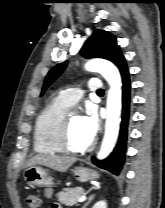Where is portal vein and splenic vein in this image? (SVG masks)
<instances>
[{
    "label": "portal vein and splenic vein",
    "instance_id": "portal-vein-and-splenic-vein-1",
    "mask_svg": "<svg viewBox=\"0 0 165 208\" xmlns=\"http://www.w3.org/2000/svg\"><path fill=\"white\" fill-rule=\"evenodd\" d=\"M86 200V196L85 195H82L79 199H78V202H83Z\"/></svg>",
    "mask_w": 165,
    "mask_h": 208
}]
</instances>
